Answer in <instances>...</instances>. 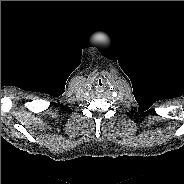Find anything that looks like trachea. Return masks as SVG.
<instances>
[{
    "label": "trachea",
    "instance_id": "trachea-1",
    "mask_svg": "<svg viewBox=\"0 0 184 184\" xmlns=\"http://www.w3.org/2000/svg\"><path fill=\"white\" fill-rule=\"evenodd\" d=\"M104 86H105V83L102 79H99L95 82V88L97 90H102L104 88Z\"/></svg>",
    "mask_w": 184,
    "mask_h": 184
}]
</instances>
